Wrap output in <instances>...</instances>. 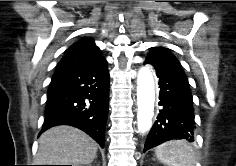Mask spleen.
Wrapping results in <instances>:
<instances>
[{
	"label": "spleen",
	"instance_id": "obj_1",
	"mask_svg": "<svg viewBox=\"0 0 236 166\" xmlns=\"http://www.w3.org/2000/svg\"><path fill=\"white\" fill-rule=\"evenodd\" d=\"M156 156L167 166H195L194 151L185 141H168L156 148Z\"/></svg>",
	"mask_w": 236,
	"mask_h": 166
}]
</instances>
